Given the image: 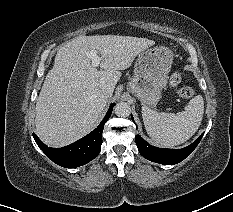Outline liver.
I'll list each match as a JSON object with an SVG mask.
<instances>
[{
    "label": "liver",
    "instance_id": "obj_1",
    "mask_svg": "<svg viewBox=\"0 0 233 212\" xmlns=\"http://www.w3.org/2000/svg\"><path fill=\"white\" fill-rule=\"evenodd\" d=\"M154 44L146 38L119 35L79 36L66 42L58 50L37 98L38 137L50 147H63L86 135L110 98L102 96L101 89L113 93L120 70L129 68L142 50ZM90 50L103 58L101 70L87 56Z\"/></svg>",
    "mask_w": 233,
    "mask_h": 212
}]
</instances>
